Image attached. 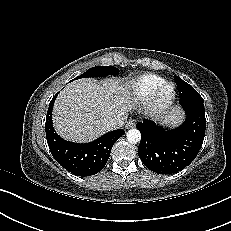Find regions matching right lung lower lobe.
<instances>
[{
    "label": "right lung lower lobe",
    "instance_id": "98d812e1",
    "mask_svg": "<svg viewBox=\"0 0 231 231\" xmlns=\"http://www.w3.org/2000/svg\"><path fill=\"white\" fill-rule=\"evenodd\" d=\"M49 104L45 131L50 152L54 159L66 170L77 176H91L106 165L114 143L123 135V129L114 130L93 142L79 144L62 139L52 125V110L55 98Z\"/></svg>",
    "mask_w": 231,
    "mask_h": 231
}]
</instances>
